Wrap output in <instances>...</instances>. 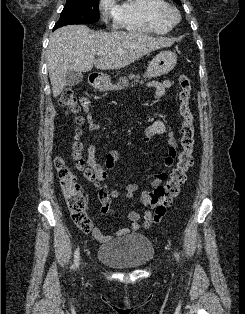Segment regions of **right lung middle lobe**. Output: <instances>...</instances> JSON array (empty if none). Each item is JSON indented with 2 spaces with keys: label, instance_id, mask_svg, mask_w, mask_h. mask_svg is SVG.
I'll return each mask as SVG.
<instances>
[{
  "label": "right lung middle lobe",
  "instance_id": "1",
  "mask_svg": "<svg viewBox=\"0 0 245 314\" xmlns=\"http://www.w3.org/2000/svg\"><path fill=\"white\" fill-rule=\"evenodd\" d=\"M99 20V0H67L54 29L69 24H87Z\"/></svg>",
  "mask_w": 245,
  "mask_h": 314
}]
</instances>
